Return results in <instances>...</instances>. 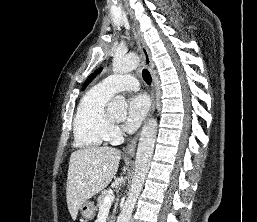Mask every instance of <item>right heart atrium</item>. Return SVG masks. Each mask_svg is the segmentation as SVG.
<instances>
[{
	"mask_svg": "<svg viewBox=\"0 0 257 222\" xmlns=\"http://www.w3.org/2000/svg\"><path fill=\"white\" fill-rule=\"evenodd\" d=\"M120 137V130L116 126H111L110 127V135L109 139L111 138L112 140H117Z\"/></svg>",
	"mask_w": 257,
	"mask_h": 222,
	"instance_id": "right-heart-atrium-1",
	"label": "right heart atrium"
}]
</instances>
